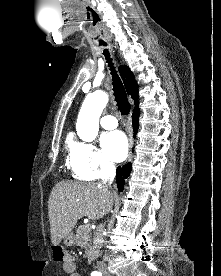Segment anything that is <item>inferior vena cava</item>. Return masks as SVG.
<instances>
[{"instance_id":"602c4592","label":"inferior vena cava","mask_w":221,"mask_h":276,"mask_svg":"<svg viewBox=\"0 0 221 276\" xmlns=\"http://www.w3.org/2000/svg\"><path fill=\"white\" fill-rule=\"evenodd\" d=\"M115 166L112 164H106L104 169V176H103V182L104 184L107 183V181L112 182L115 178ZM105 229V223H102L98 226L96 232L94 233V239H93V255L94 258L97 259L99 257V249L101 248L104 239H103V232Z\"/></svg>"}]
</instances>
